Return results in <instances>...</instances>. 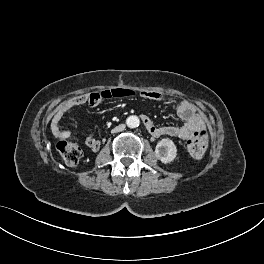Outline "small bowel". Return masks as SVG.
Instances as JSON below:
<instances>
[{
    "label": "small bowel",
    "mask_w": 264,
    "mask_h": 264,
    "mask_svg": "<svg viewBox=\"0 0 264 264\" xmlns=\"http://www.w3.org/2000/svg\"><path fill=\"white\" fill-rule=\"evenodd\" d=\"M141 96L152 100L162 99V96L159 93L148 90L142 91ZM87 102L91 106H95L100 101L96 103H90L89 95H83L63 103L57 109L51 122V128L55 136L58 138H70L69 131L60 129V120L67 112ZM177 114L184 121V123L179 126H157L147 115H142L141 118L147 131L155 138L170 136L186 140L203 128L202 119L195 113L193 107L190 104L186 102H179L177 104ZM85 142L86 145L93 151H97L100 148V141L92 135L87 136Z\"/></svg>",
    "instance_id": "small-bowel-1"
}]
</instances>
